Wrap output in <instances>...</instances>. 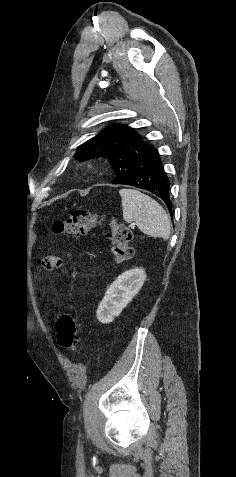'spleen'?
Returning <instances> with one entry per match:
<instances>
[{
	"mask_svg": "<svg viewBox=\"0 0 236 477\" xmlns=\"http://www.w3.org/2000/svg\"><path fill=\"white\" fill-rule=\"evenodd\" d=\"M123 218L126 222H136L138 228L149 236H170V221L163 207L146 194L134 189H121Z\"/></svg>",
	"mask_w": 236,
	"mask_h": 477,
	"instance_id": "3e777b00",
	"label": "spleen"
}]
</instances>
